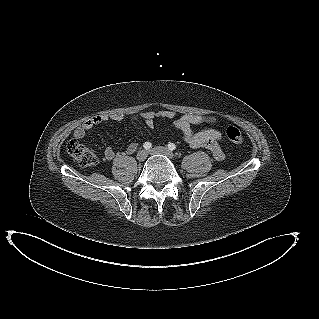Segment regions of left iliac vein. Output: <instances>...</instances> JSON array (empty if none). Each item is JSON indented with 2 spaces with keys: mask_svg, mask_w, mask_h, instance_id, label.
<instances>
[{
  "mask_svg": "<svg viewBox=\"0 0 319 319\" xmlns=\"http://www.w3.org/2000/svg\"><path fill=\"white\" fill-rule=\"evenodd\" d=\"M151 154H161L164 156H167L168 158L172 159L174 157L173 152H171L170 150H168L165 147H154L153 149L150 150Z\"/></svg>",
  "mask_w": 319,
  "mask_h": 319,
  "instance_id": "obj_1",
  "label": "left iliac vein"
}]
</instances>
